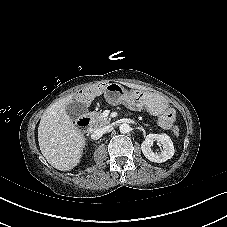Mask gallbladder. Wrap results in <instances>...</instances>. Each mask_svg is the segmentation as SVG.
<instances>
[{
  "mask_svg": "<svg viewBox=\"0 0 227 227\" xmlns=\"http://www.w3.org/2000/svg\"><path fill=\"white\" fill-rule=\"evenodd\" d=\"M66 112L72 120H76L78 117L87 112V107L83 103L74 101L67 106Z\"/></svg>",
  "mask_w": 227,
  "mask_h": 227,
  "instance_id": "bac80fb5",
  "label": "gallbladder"
}]
</instances>
